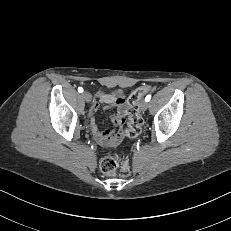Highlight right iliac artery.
<instances>
[{
    "label": "right iliac artery",
    "mask_w": 231,
    "mask_h": 231,
    "mask_svg": "<svg viewBox=\"0 0 231 231\" xmlns=\"http://www.w3.org/2000/svg\"><path fill=\"white\" fill-rule=\"evenodd\" d=\"M78 92L82 93V92H83V88H82V87H79V88H78Z\"/></svg>",
    "instance_id": "82829eb1"
}]
</instances>
